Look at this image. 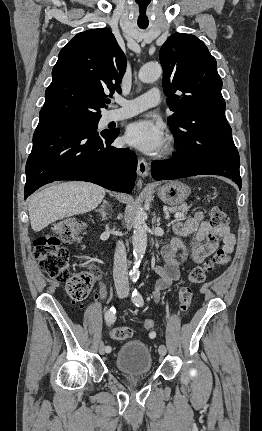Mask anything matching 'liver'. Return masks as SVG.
<instances>
[{
    "label": "liver",
    "instance_id": "6515ba94",
    "mask_svg": "<svg viewBox=\"0 0 262 431\" xmlns=\"http://www.w3.org/2000/svg\"><path fill=\"white\" fill-rule=\"evenodd\" d=\"M105 189L88 182H65L49 186L28 200L31 227L39 232L52 222L95 209Z\"/></svg>",
    "mask_w": 262,
    "mask_h": 431
}]
</instances>
